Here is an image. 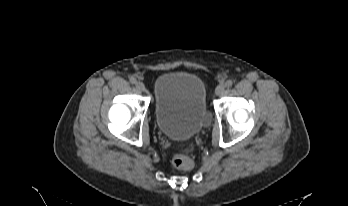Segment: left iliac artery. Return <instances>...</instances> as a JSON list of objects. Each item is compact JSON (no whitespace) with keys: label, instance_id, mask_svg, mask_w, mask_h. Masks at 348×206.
<instances>
[{"label":"left iliac artery","instance_id":"obj_1","mask_svg":"<svg viewBox=\"0 0 348 206\" xmlns=\"http://www.w3.org/2000/svg\"><path fill=\"white\" fill-rule=\"evenodd\" d=\"M232 84H233V81L232 80H227L226 82H225V86L227 87V88H230L231 86H232Z\"/></svg>","mask_w":348,"mask_h":206}]
</instances>
